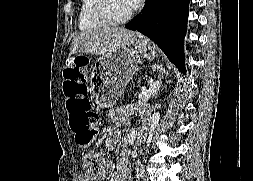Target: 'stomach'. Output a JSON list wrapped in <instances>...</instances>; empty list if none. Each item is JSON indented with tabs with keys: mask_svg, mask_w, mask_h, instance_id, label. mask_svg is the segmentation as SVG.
I'll list each match as a JSON object with an SVG mask.
<instances>
[{
	"mask_svg": "<svg viewBox=\"0 0 253 181\" xmlns=\"http://www.w3.org/2000/svg\"><path fill=\"white\" fill-rule=\"evenodd\" d=\"M137 50L147 59L157 56L155 47L144 38L137 39L134 49L126 46L100 57L93 68L92 90L98 108L113 106L130 81L137 66Z\"/></svg>",
	"mask_w": 253,
	"mask_h": 181,
	"instance_id": "stomach-1",
	"label": "stomach"
}]
</instances>
